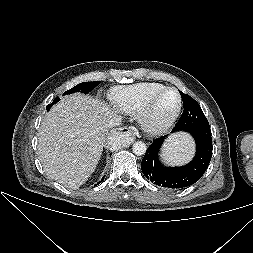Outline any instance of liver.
<instances>
[{"mask_svg":"<svg viewBox=\"0 0 253 253\" xmlns=\"http://www.w3.org/2000/svg\"><path fill=\"white\" fill-rule=\"evenodd\" d=\"M113 115L106 104L82 94L54 105L38 133V155L47 175L71 189L84 184L100 160Z\"/></svg>","mask_w":253,"mask_h":253,"instance_id":"obj_1","label":"liver"}]
</instances>
